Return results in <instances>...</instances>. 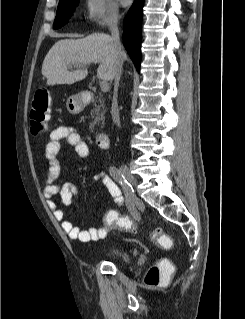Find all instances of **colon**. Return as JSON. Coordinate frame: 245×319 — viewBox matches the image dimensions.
<instances>
[{
  "mask_svg": "<svg viewBox=\"0 0 245 319\" xmlns=\"http://www.w3.org/2000/svg\"><path fill=\"white\" fill-rule=\"evenodd\" d=\"M51 98L46 89H39L35 92L32 99L30 122L33 135L42 134L45 131L46 123L50 115ZM105 223L113 229L130 231L134 229V223L127 216H121L116 211H109L105 215ZM152 238L164 249H171L174 245L173 240L165 235L160 228H155L151 234ZM169 266L164 260L159 261L150 268L146 277L145 284L155 287L163 284L168 275Z\"/></svg>",
  "mask_w": 245,
  "mask_h": 319,
  "instance_id": "colon-1",
  "label": "colon"
}]
</instances>
